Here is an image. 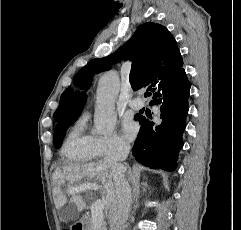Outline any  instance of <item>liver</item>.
Returning a JSON list of instances; mask_svg holds the SVG:
<instances>
[{"label":"liver","mask_w":241,"mask_h":230,"mask_svg":"<svg viewBox=\"0 0 241 230\" xmlns=\"http://www.w3.org/2000/svg\"><path fill=\"white\" fill-rule=\"evenodd\" d=\"M124 171H126L125 167ZM53 178L58 184L54 192V203L61 216L68 212V209H63V206L67 203L66 193L71 194L70 202L77 207L79 212L86 207L81 193L95 188L101 190L102 198L107 200V203H113L115 196L113 174L111 168L102 161L76 167H63L62 170L59 169L55 172ZM65 181L68 182V185L66 191H63L60 185H64Z\"/></svg>","instance_id":"obj_1"}]
</instances>
